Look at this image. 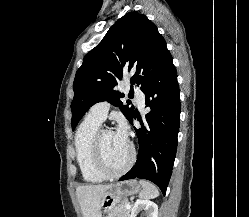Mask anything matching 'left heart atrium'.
Here are the masks:
<instances>
[{
  "label": "left heart atrium",
  "mask_w": 249,
  "mask_h": 217,
  "mask_svg": "<svg viewBox=\"0 0 249 217\" xmlns=\"http://www.w3.org/2000/svg\"><path fill=\"white\" fill-rule=\"evenodd\" d=\"M115 133L122 141L127 142V127L124 122H120Z\"/></svg>",
  "instance_id": "left-heart-atrium-1"
}]
</instances>
